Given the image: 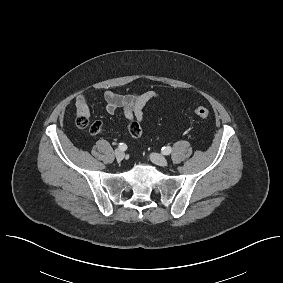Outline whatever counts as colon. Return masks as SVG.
Here are the masks:
<instances>
[{
  "label": "colon",
  "instance_id": "colon-1",
  "mask_svg": "<svg viewBox=\"0 0 283 283\" xmlns=\"http://www.w3.org/2000/svg\"><path fill=\"white\" fill-rule=\"evenodd\" d=\"M194 113H195L196 116H198L199 118H202V119H206L210 116V111L207 108L202 107V106L196 107L194 109ZM77 125L79 127H82V128L86 127L87 126L86 117L80 116L77 119ZM103 127H104V125L101 121H96L95 123L92 124L90 131L93 134H100L103 131Z\"/></svg>",
  "mask_w": 283,
  "mask_h": 283
}]
</instances>
